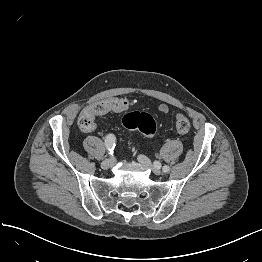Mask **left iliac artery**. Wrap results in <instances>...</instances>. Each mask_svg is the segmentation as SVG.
I'll list each match as a JSON object with an SVG mask.
<instances>
[{"instance_id": "left-iliac-artery-1", "label": "left iliac artery", "mask_w": 262, "mask_h": 262, "mask_svg": "<svg viewBox=\"0 0 262 262\" xmlns=\"http://www.w3.org/2000/svg\"><path fill=\"white\" fill-rule=\"evenodd\" d=\"M169 170H170L169 166L167 165L163 166V172H169Z\"/></svg>"}]
</instances>
